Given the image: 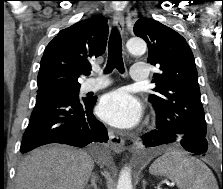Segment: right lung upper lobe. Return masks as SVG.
<instances>
[{"label":"right lung upper lobe","mask_w":223,"mask_h":189,"mask_svg":"<svg viewBox=\"0 0 223 189\" xmlns=\"http://www.w3.org/2000/svg\"><path fill=\"white\" fill-rule=\"evenodd\" d=\"M108 25L95 15L61 30L45 48L38 73L37 93L80 88L78 78L89 73L91 61L106 49Z\"/></svg>","instance_id":"cb5924a9"}]
</instances>
